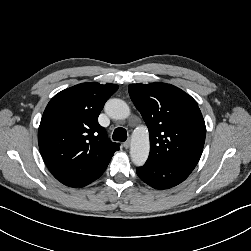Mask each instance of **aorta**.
<instances>
[{
  "instance_id": "1",
  "label": "aorta",
  "mask_w": 251,
  "mask_h": 251,
  "mask_svg": "<svg viewBox=\"0 0 251 251\" xmlns=\"http://www.w3.org/2000/svg\"><path fill=\"white\" fill-rule=\"evenodd\" d=\"M105 112L112 119L123 120L130 115V108L121 99L113 98L106 102ZM150 150L149 132L146 127L137 128L132 135L130 156L136 166H142L147 161Z\"/></svg>"
}]
</instances>
